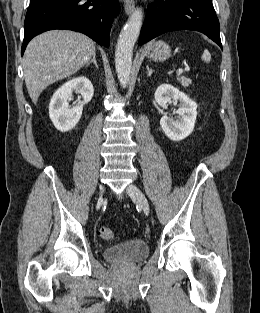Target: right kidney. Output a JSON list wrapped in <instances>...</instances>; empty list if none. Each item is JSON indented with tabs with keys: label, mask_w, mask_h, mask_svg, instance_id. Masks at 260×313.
<instances>
[{
	"label": "right kidney",
	"mask_w": 260,
	"mask_h": 313,
	"mask_svg": "<svg viewBox=\"0 0 260 313\" xmlns=\"http://www.w3.org/2000/svg\"><path fill=\"white\" fill-rule=\"evenodd\" d=\"M74 90L81 93L83 101L70 108L68 101ZM93 94V85L86 77L74 78L57 89L49 104V116L55 128L61 132L73 129L82 116L83 106L92 99Z\"/></svg>",
	"instance_id": "obj_1"
}]
</instances>
